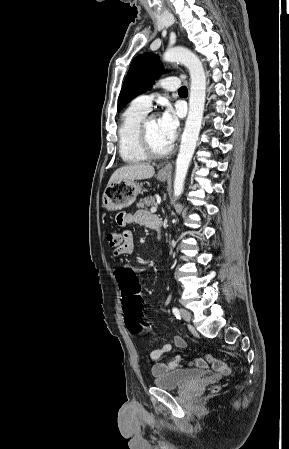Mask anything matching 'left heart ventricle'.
<instances>
[{
    "label": "left heart ventricle",
    "instance_id": "obj_1",
    "mask_svg": "<svg viewBox=\"0 0 289 449\" xmlns=\"http://www.w3.org/2000/svg\"><path fill=\"white\" fill-rule=\"evenodd\" d=\"M148 133L151 146L156 152H164L171 146L172 143L161 130L158 119L153 118L150 120Z\"/></svg>",
    "mask_w": 289,
    "mask_h": 449
}]
</instances>
